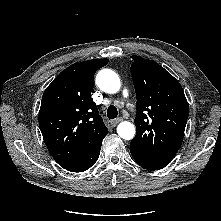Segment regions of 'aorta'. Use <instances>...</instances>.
Wrapping results in <instances>:
<instances>
[{
    "instance_id": "762f6f07",
    "label": "aorta",
    "mask_w": 221,
    "mask_h": 221,
    "mask_svg": "<svg viewBox=\"0 0 221 221\" xmlns=\"http://www.w3.org/2000/svg\"><path fill=\"white\" fill-rule=\"evenodd\" d=\"M97 86L104 92L114 94L121 87L120 78L111 69H103L96 76ZM118 135L125 140H131L135 136V126L127 121L121 122L117 127Z\"/></svg>"
}]
</instances>
